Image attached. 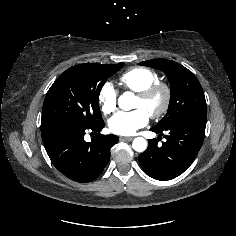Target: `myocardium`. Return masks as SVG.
I'll list each match as a JSON object with an SVG mask.
<instances>
[{
    "label": "myocardium",
    "mask_w": 236,
    "mask_h": 236,
    "mask_svg": "<svg viewBox=\"0 0 236 236\" xmlns=\"http://www.w3.org/2000/svg\"><path fill=\"white\" fill-rule=\"evenodd\" d=\"M157 94L162 96V104L158 110L149 114L153 119H159L168 112L172 99V90L170 85L166 82L158 81L137 93V96L143 100H149Z\"/></svg>",
    "instance_id": "f54148a6"
}]
</instances>
